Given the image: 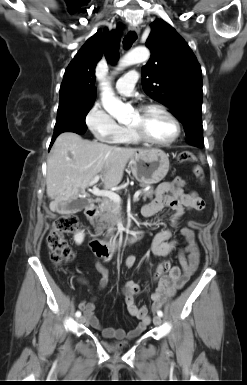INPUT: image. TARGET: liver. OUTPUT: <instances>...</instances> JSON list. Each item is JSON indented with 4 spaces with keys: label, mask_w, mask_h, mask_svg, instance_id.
<instances>
[{
    "label": "liver",
    "mask_w": 247,
    "mask_h": 385,
    "mask_svg": "<svg viewBox=\"0 0 247 385\" xmlns=\"http://www.w3.org/2000/svg\"><path fill=\"white\" fill-rule=\"evenodd\" d=\"M140 149L109 146L97 141L84 140L74 132L61 133L55 140L47 160L46 193L52 200L49 208L60 212L97 175L105 188L117 186L124 168Z\"/></svg>",
    "instance_id": "obj_1"
}]
</instances>
